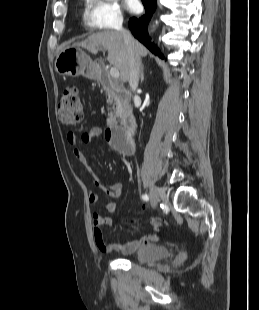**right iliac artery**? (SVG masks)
Here are the masks:
<instances>
[{
  "label": "right iliac artery",
  "mask_w": 259,
  "mask_h": 310,
  "mask_svg": "<svg viewBox=\"0 0 259 310\" xmlns=\"http://www.w3.org/2000/svg\"><path fill=\"white\" fill-rule=\"evenodd\" d=\"M142 199L145 200V201H148L149 200V196L147 194H143L142 195Z\"/></svg>",
  "instance_id": "right-iliac-artery-1"
}]
</instances>
